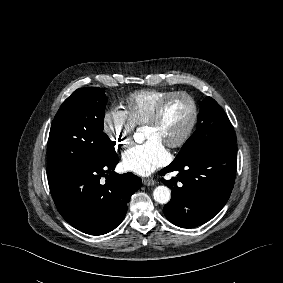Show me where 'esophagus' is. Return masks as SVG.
<instances>
[{
  "instance_id": "34e87169",
  "label": "esophagus",
  "mask_w": 283,
  "mask_h": 283,
  "mask_svg": "<svg viewBox=\"0 0 283 283\" xmlns=\"http://www.w3.org/2000/svg\"><path fill=\"white\" fill-rule=\"evenodd\" d=\"M142 181H143V184L146 186H153L156 184V181L153 179L144 178Z\"/></svg>"
}]
</instances>
